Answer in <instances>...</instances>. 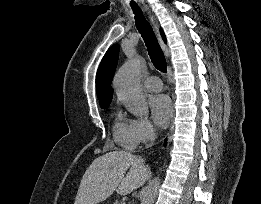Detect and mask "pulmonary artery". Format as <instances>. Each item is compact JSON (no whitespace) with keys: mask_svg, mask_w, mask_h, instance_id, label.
<instances>
[{"mask_svg":"<svg viewBox=\"0 0 261 204\" xmlns=\"http://www.w3.org/2000/svg\"><path fill=\"white\" fill-rule=\"evenodd\" d=\"M144 86L149 91H160L162 89V82L156 76H150L144 81Z\"/></svg>","mask_w":261,"mask_h":204,"instance_id":"e3ab8cb5","label":"pulmonary artery"}]
</instances>
